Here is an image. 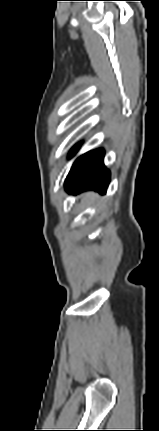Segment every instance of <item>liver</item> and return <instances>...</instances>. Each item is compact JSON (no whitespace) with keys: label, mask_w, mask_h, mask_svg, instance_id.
Returning a JSON list of instances; mask_svg holds the SVG:
<instances>
[{"label":"liver","mask_w":159,"mask_h":431,"mask_svg":"<svg viewBox=\"0 0 159 431\" xmlns=\"http://www.w3.org/2000/svg\"><path fill=\"white\" fill-rule=\"evenodd\" d=\"M86 198H88V199H92V200H94L95 199V197L97 196L96 194H93V193H87L86 195H84Z\"/></svg>","instance_id":"6515ba94"}]
</instances>
